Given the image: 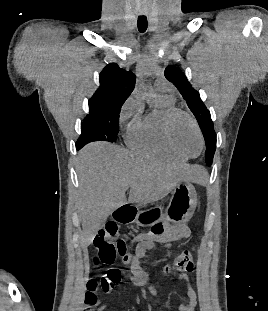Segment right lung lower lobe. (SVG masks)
I'll return each instance as SVG.
<instances>
[{"mask_svg": "<svg viewBox=\"0 0 268 311\" xmlns=\"http://www.w3.org/2000/svg\"><path fill=\"white\" fill-rule=\"evenodd\" d=\"M80 148H82L81 145H77V144H76V149L79 150Z\"/></svg>", "mask_w": 268, "mask_h": 311, "instance_id": "98d812e1", "label": "right lung lower lobe"}]
</instances>
